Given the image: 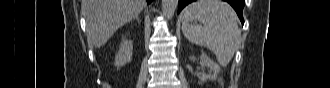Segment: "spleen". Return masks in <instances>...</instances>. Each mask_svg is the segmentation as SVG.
Masks as SVG:
<instances>
[{"instance_id":"spleen-1","label":"spleen","mask_w":330,"mask_h":88,"mask_svg":"<svg viewBox=\"0 0 330 88\" xmlns=\"http://www.w3.org/2000/svg\"><path fill=\"white\" fill-rule=\"evenodd\" d=\"M184 36L193 44L204 46L227 66L240 39L237 18L232 7L220 0H198L189 4L181 14ZM198 19L204 26L192 25Z\"/></svg>"}]
</instances>
